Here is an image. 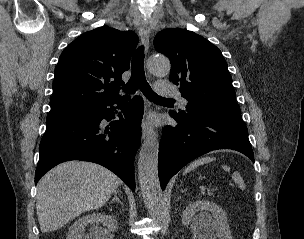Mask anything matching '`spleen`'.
<instances>
[{"label":"spleen","instance_id":"1","mask_svg":"<svg viewBox=\"0 0 304 239\" xmlns=\"http://www.w3.org/2000/svg\"><path fill=\"white\" fill-rule=\"evenodd\" d=\"M213 160H215L214 158L212 157H202V158H199L195 161H193L192 163H190L187 168L185 169L184 173H188V172H191L192 170H194L195 168H197L198 166L200 165H203V164H207V163H210L212 162ZM222 168L225 170V171H229L230 168L227 166V165H223ZM233 179L234 181L239 185V187L241 189H245V184H244V181L243 179L241 178L240 174L238 172H235L233 174Z\"/></svg>","mask_w":304,"mask_h":239}]
</instances>
